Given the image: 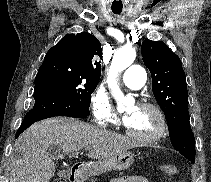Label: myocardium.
Instances as JSON below:
<instances>
[{"label": "myocardium", "instance_id": "f54148a6", "mask_svg": "<svg viewBox=\"0 0 211 182\" xmlns=\"http://www.w3.org/2000/svg\"><path fill=\"white\" fill-rule=\"evenodd\" d=\"M138 107L150 109V110L155 112V114L157 115L158 120H159L158 130L151 136L142 137V136L136 135L133 131H131L129 129V127L127 125H125L126 134L131 139H133L134 141H136L140 144L149 145V144L156 143L157 141H159L165 135V133L167 131V127H168L167 118H166L164 112L162 111V109L154 103L141 102L138 105Z\"/></svg>", "mask_w": 211, "mask_h": 182}]
</instances>
